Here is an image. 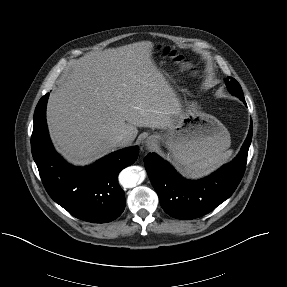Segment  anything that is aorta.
Segmentation results:
<instances>
[{
    "instance_id": "762f6f07",
    "label": "aorta",
    "mask_w": 287,
    "mask_h": 287,
    "mask_svg": "<svg viewBox=\"0 0 287 287\" xmlns=\"http://www.w3.org/2000/svg\"><path fill=\"white\" fill-rule=\"evenodd\" d=\"M141 179L140 173L134 167H128L121 171L119 181L123 187L133 188Z\"/></svg>"
}]
</instances>
